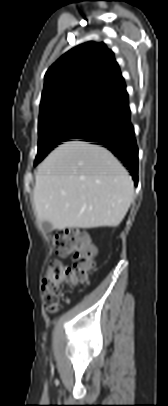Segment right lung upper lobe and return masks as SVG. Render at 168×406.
<instances>
[{"instance_id": "1", "label": "right lung upper lobe", "mask_w": 168, "mask_h": 406, "mask_svg": "<svg viewBox=\"0 0 168 406\" xmlns=\"http://www.w3.org/2000/svg\"><path fill=\"white\" fill-rule=\"evenodd\" d=\"M124 92L113 52L104 43L87 42L65 53L46 72L39 119L80 102L109 103Z\"/></svg>"}]
</instances>
